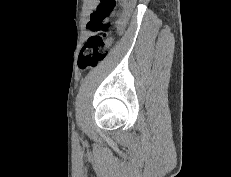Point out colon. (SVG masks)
<instances>
[{
  "mask_svg": "<svg viewBox=\"0 0 231 177\" xmlns=\"http://www.w3.org/2000/svg\"><path fill=\"white\" fill-rule=\"evenodd\" d=\"M132 0H100L97 9L91 14L87 24L91 35L83 45L78 56L81 70L95 68L107 55L113 43L111 18L117 11L118 4L130 5Z\"/></svg>",
  "mask_w": 231,
  "mask_h": 177,
  "instance_id": "1",
  "label": "colon"
}]
</instances>
